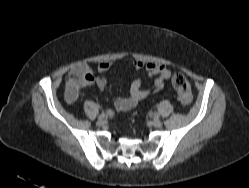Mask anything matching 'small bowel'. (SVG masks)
<instances>
[{"instance_id":"1","label":"small bowel","mask_w":249,"mask_h":188,"mask_svg":"<svg viewBox=\"0 0 249 188\" xmlns=\"http://www.w3.org/2000/svg\"><path fill=\"white\" fill-rule=\"evenodd\" d=\"M112 66L109 61L99 63L97 70L99 73L107 72ZM136 69H144L147 76L155 77L151 87L144 88L142 79H135L130 86V93L127 97H120L115 100L114 106L117 111H127L137 106L140 101L150 94L157 93L164 89L166 81L172 76L171 70L158 63H144L136 60L133 63ZM74 70H77L78 76L75 75ZM71 78L68 82L67 101H74L78 93L83 88L97 86L100 90H104L107 86V80L103 76L94 77L91 69L86 64L75 66L70 72ZM111 113V112H109Z\"/></svg>"}]
</instances>
